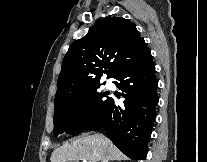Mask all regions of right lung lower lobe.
<instances>
[{
	"label": "right lung lower lobe",
	"mask_w": 207,
	"mask_h": 162,
	"mask_svg": "<svg viewBox=\"0 0 207 162\" xmlns=\"http://www.w3.org/2000/svg\"><path fill=\"white\" fill-rule=\"evenodd\" d=\"M114 83L125 94L124 106L110 98L88 128H104L113 143L132 160H145L156 117L158 81L151 54L120 72Z\"/></svg>",
	"instance_id": "98d812e1"
}]
</instances>
